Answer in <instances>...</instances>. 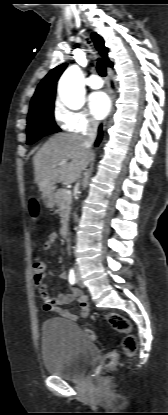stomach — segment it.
I'll use <instances>...</instances> for the list:
<instances>
[{
	"label": "stomach",
	"instance_id": "0dacf381",
	"mask_svg": "<svg viewBox=\"0 0 168 415\" xmlns=\"http://www.w3.org/2000/svg\"><path fill=\"white\" fill-rule=\"evenodd\" d=\"M42 200L47 208H52L54 206V193L51 189L43 191Z\"/></svg>",
	"mask_w": 168,
	"mask_h": 415
}]
</instances>
